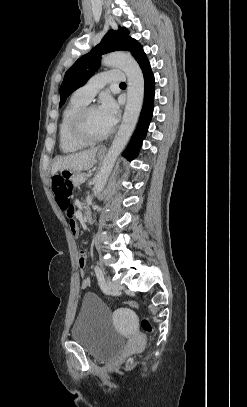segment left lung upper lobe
<instances>
[{
	"label": "left lung upper lobe",
	"instance_id": "left-lung-upper-lobe-1",
	"mask_svg": "<svg viewBox=\"0 0 247 407\" xmlns=\"http://www.w3.org/2000/svg\"><path fill=\"white\" fill-rule=\"evenodd\" d=\"M118 50L131 52L136 61L145 54L141 45L129 36L125 28L120 27L118 32L109 31L95 48L80 57L66 72L60 87L59 105H63L67 97L94 74L99 67L101 55Z\"/></svg>",
	"mask_w": 247,
	"mask_h": 407
}]
</instances>
